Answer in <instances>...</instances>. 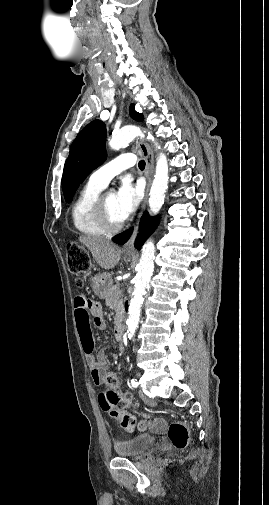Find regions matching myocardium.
Returning a JSON list of instances; mask_svg holds the SVG:
<instances>
[{
	"label": "myocardium",
	"mask_w": 269,
	"mask_h": 505,
	"mask_svg": "<svg viewBox=\"0 0 269 505\" xmlns=\"http://www.w3.org/2000/svg\"><path fill=\"white\" fill-rule=\"evenodd\" d=\"M104 197L105 195L99 196L95 203V214L97 220L107 233L118 232L124 227V221L120 223H113L110 220L104 204Z\"/></svg>",
	"instance_id": "myocardium-1"
}]
</instances>
